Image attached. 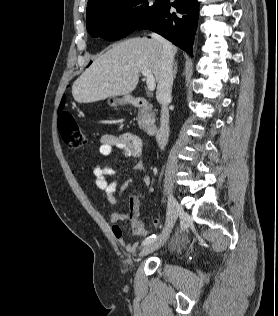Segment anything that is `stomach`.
I'll return each instance as SVG.
<instances>
[{
	"instance_id": "stomach-1",
	"label": "stomach",
	"mask_w": 278,
	"mask_h": 316,
	"mask_svg": "<svg viewBox=\"0 0 278 316\" xmlns=\"http://www.w3.org/2000/svg\"><path fill=\"white\" fill-rule=\"evenodd\" d=\"M124 100H120V99H117L115 97H110L108 99V104L112 107H115L117 106L118 104L122 103Z\"/></svg>"
}]
</instances>
